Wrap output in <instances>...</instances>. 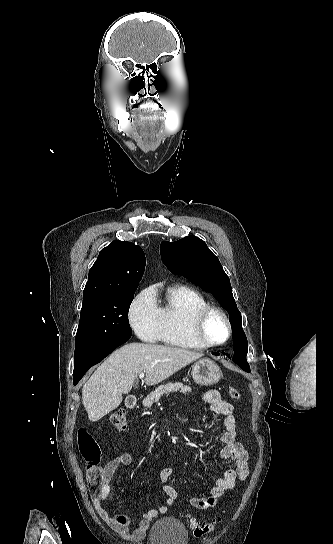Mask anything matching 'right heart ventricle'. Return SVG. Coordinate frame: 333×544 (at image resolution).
<instances>
[{"label":"right heart ventricle","mask_w":333,"mask_h":544,"mask_svg":"<svg viewBox=\"0 0 333 544\" xmlns=\"http://www.w3.org/2000/svg\"><path fill=\"white\" fill-rule=\"evenodd\" d=\"M209 305L198 290L186 285H174L167 289L164 302L159 306L162 332L161 340L168 345L203 349L193 334V320L196 313Z\"/></svg>","instance_id":"right-heart-ventricle-1"}]
</instances>
